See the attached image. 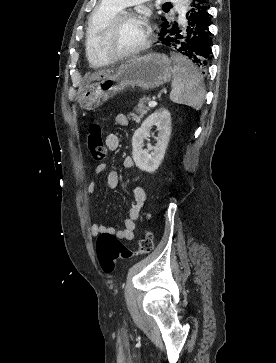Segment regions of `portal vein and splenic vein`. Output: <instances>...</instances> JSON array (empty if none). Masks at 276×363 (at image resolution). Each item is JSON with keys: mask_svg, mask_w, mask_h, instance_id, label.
<instances>
[{"mask_svg": "<svg viewBox=\"0 0 276 363\" xmlns=\"http://www.w3.org/2000/svg\"><path fill=\"white\" fill-rule=\"evenodd\" d=\"M156 105H157V102L154 100L148 102V106H150V107H154Z\"/></svg>", "mask_w": 276, "mask_h": 363, "instance_id": "1", "label": "portal vein and splenic vein"}]
</instances>
